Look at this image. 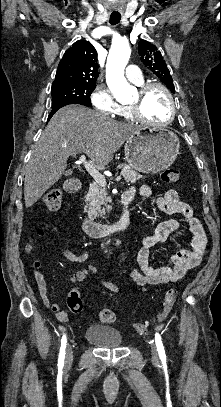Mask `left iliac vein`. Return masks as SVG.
<instances>
[{
  "instance_id": "left-iliac-vein-1",
  "label": "left iliac vein",
  "mask_w": 221,
  "mask_h": 407,
  "mask_svg": "<svg viewBox=\"0 0 221 407\" xmlns=\"http://www.w3.org/2000/svg\"><path fill=\"white\" fill-rule=\"evenodd\" d=\"M151 354H152V358H153L155 361H157L159 355H158V352H157V349H156V346H155L154 343L151 344Z\"/></svg>"
}]
</instances>
